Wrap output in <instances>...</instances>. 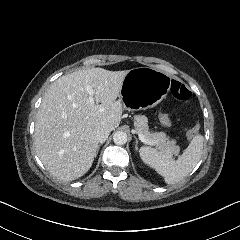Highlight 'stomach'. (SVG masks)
Instances as JSON below:
<instances>
[{
    "label": "stomach",
    "instance_id": "obj_1",
    "mask_svg": "<svg viewBox=\"0 0 240 240\" xmlns=\"http://www.w3.org/2000/svg\"><path fill=\"white\" fill-rule=\"evenodd\" d=\"M170 81V75L151 67L129 70L120 92L123 107L128 111L155 107L167 96Z\"/></svg>",
    "mask_w": 240,
    "mask_h": 240
}]
</instances>
